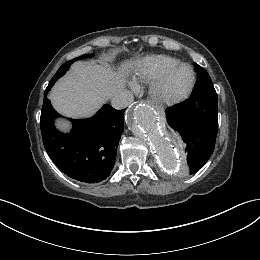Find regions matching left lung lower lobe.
Instances as JSON below:
<instances>
[{"label": "left lung lower lobe", "instance_id": "0a47b994", "mask_svg": "<svg viewBox=\"0 0 260 260\" xmlns=\"http://www.w3.org/2000/svg\"><path fill=\"white\" fill-rule=\"evenodd\" d=\"M167 123L185 150L190 174L209 160L218 130L216 93L193 96L166 110Z\"/></svg>", "mask_w": 260, "mask_h": 260}]
</instances>
